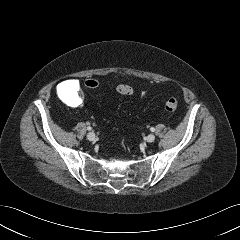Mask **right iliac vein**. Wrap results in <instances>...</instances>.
Segmentation results:
<instances>
[{"label": "right iliac vein", "instance_id": "obj_1", "mask_svg": "<svg viewBox=\"0 0 240 240\" xmlns=\"http://www.w3.org/2000/svg\"><path fill=\"white\" fill-rule=\"evenodd\" d=\"M95 134L93 133V132H90V133H88L87 134V139L89 140V141H94L95 140Z\"/></svg>", "mask_w": 240, "mask_h": 240}]
</instances>
